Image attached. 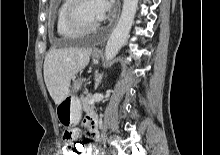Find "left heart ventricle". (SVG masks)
I'll return each mask as SVG.
<instances>
[{
    "label": "left heart ventricle",
    "mask_w": 220,
    "mask_h": 155,
    "mask_svg": "<svg viewBox=\"0 0 220 155\" xmlns=\"http://www.w3.org/2000/svg\"><path fill=\"white\" fill-rule=\"evenodd\" d=\"M79 14L81 19L88 24L100 22V18L95 9L94 0H83L80 5Z\"/></svg>",
    "instance_id": "obj_1"
}]
</instances>
